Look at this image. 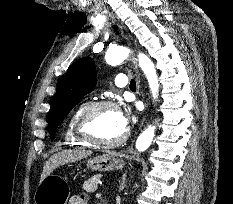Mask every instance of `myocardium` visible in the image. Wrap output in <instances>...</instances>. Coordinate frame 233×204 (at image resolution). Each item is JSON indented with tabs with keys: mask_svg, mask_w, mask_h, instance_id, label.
<instances>
[{
	"mask_svg": "<svg viewBox=\"0 0 233 204\" xmlns=\"http://www.w3.org/2000/svg\"><path fill=\"white\" fill-rule=\"evenodd\" d=\"M106 108L118 110V105L110 100L94 101L85 105L77 116L75 122V134L79 139H81L88 145L110 148L122 144L127 139L128 131H124L122 136L111 141H102L95 139L88 133L87 125L92 115L97 111Z\"/></svg>",
	"mask_w": 233,
	"mask_h": 204,
	"instance_id": "1",
	"label": "myocardium"
}]
</instances>
